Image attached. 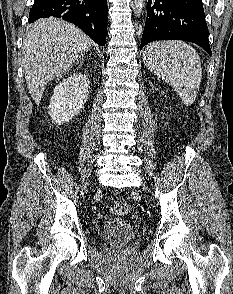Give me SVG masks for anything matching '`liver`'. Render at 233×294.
<instances>
[{
	"label": "liver",
	"mask_w": 233,
	"mask_h": 294,
	"mask_svg": "<svg viewBox=\"0 0 233 294\" xmlns=\"http://www.w3.org/2000/svg\"><path fill=\"white\" fill-rule=\"evenodd\" d=\"M91 39L75 25L42 19L28 32L23 46V68L29 93L39 104L45 86L87 53Z\"/></svg>",
	"instance_id": "6515ba94"
}]
</instances>
